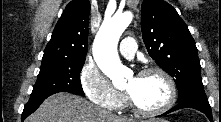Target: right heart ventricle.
<instances>
[{"instance_id": "1", "label": "right heart ventricle", "mask_w": 221, "mask_h": 122, "mask_svg": "<svg viewBox=\"0 0 221 122\" xmlns=\"http://www.w3.org/2000/svg\"><path fill=\"white\" fill-rule=\"evenodd\" d=\"M124 105H125V101H124V99L122 100V102L120 103V105H119V107L118 108H123L124 107Z\"/></svg>"}]
</instances>
